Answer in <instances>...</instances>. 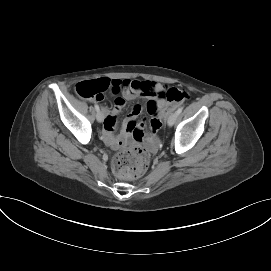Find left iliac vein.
<instances>
[{
    "instance_id": "obj_1",
    "label": "left iliac vein",
    "mask_w": 271,
    "mask_h": 271,
    "mask_svg": "<svg viewBox=\"0 0 271 271\" xmlns=\"http://www.w3.org/2000/svg\"><path fill=\"white\" fill-rule=\"evenodd\" d=\"M177 117H178L177 112L172 113V114L168 117V120H167L168 126H173L174 123L176 122Z\"/></svg>"
}]
</instances>
